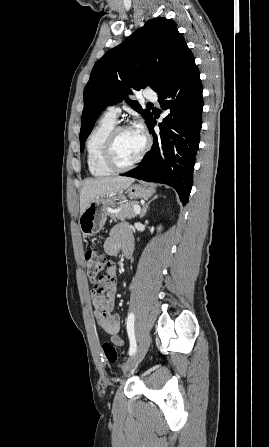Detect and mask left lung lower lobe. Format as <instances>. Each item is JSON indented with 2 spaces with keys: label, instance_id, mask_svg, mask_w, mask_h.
<instances>
[{
  "label": "left lung lower lobe",
  "instance_id": "0a47b994",
  "mask_svg": "<svg viewBox=\"0 0 269 447\" xmlns=\"http://www.w3.org/2000/svg\"><path fill=\"white\" fill-rule=\"evenodd\" d=\"M202 82L190 49L183 57L164 88L158 101L168 115L154 132L156 120L148 122L153 134V147L135 169L122 174L148 182L173 187L182 203H187L192 188L195 156L202 127Z\"/></svg>",
  "mask_w": 269,
  "mask_h": 447
}]
</instances>
